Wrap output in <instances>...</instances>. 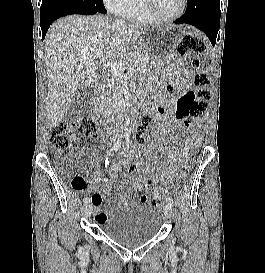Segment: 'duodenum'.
I'll use <instances>...</instances> for the list:
<instances>
[{
	"instance_id": "duodenum-1",
	"label": "duodenum",
	"mask_w": 265,
	"mask_h": 273,
	"mask_svg": "<svg viewBox=\"0 0 265 273\" xmlns=\"http://www.w3.org/2000/svg\"><path fill=\"white\" fill-rule=\"evenodd\" d=\"M97 91H98V90H97ZM97 91H96V92H97ZM97 100H98V97L96 96V97H95V101H97Z\"/></svg>"
}]
</instances>
